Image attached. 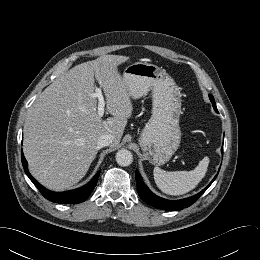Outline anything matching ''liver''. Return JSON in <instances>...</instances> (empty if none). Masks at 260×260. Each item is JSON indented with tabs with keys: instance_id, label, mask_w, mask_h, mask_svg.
Masks as SVG:
<instances>
[{
	"instance_id": "obj_1",
	"label": "liver",
	"mask_w": 260,
	"mask_h": 260,
	"mask_svg": "<svg viewBox=\"0 0 260 260\" xmlns=\"http://www.w3.org/2000/svg\"><path fill=\"white\" fill-rule=\"evenodd\" d=\"M129 57L103 55L76 65L50 84L27 112L23 151L30 173L48 189L62 191L87 173L98 150V138L112 134L113 146L122 138L133 105L118 66ZM106 97L98 115L95 79Z\"/></svg>"
}]
</instances>
